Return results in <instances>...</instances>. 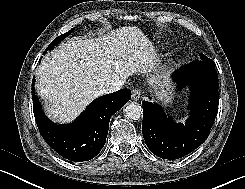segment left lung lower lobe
<instances>
[{"instance_id":"obj_1","label":"left lung lower lobe","mask_w":245,"mask_h":189,"mask_svg":"<svg viewBox=\"0 0 245 189\" xmlns=\"http://www.w3.org/2000/svg\"><path fill=\"white\" fill-rule=\"evenodd\" d=\"M215 66L206 60H198L172 74L179 88L191 87V111L185 124H177L167 117L160 105L142 102V134L153 154L163 159H179L207 139L218 112L219 80Z\"/></svg>"}]
</instances>
